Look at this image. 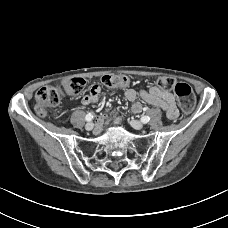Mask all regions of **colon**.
I'll return each instance as SVG.
<instances>
[{
    "mask_svg": "<svg viewBox=\"0 0 228 228\" xmlns=\"http://www.w3.org/2000/svg\"><path fill=\"white\" fill-rule=\"evenodd\" d=\"M130 78L125 75L108 74L102 77V83L108 88H122L130 84ZM157 85L161 89L173 90L178 102L185 112H190L196 103L192 88L186 83H177L171 77H160ZM63 87L68 95L75 96L84 91L86 81L80 77H70L63 81ZM61 100V89L46 86L38 90L35 96V111L39 116H46Z\"/></svg>",
    "mask_w": 228,
    "mask_h": 228,
    "instance_id": "1",
    "label": "colon"
}]
</instances>
